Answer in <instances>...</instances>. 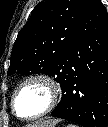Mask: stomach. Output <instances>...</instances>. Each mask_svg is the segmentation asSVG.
<instances>
[{
  "label": "stomach",
  "instance_id": "stomach-1",
  "mask_svg": "<svg viewBox=\"0 0 108 127\" xmlns=\"http://www.w3.org/2000/svg\"><path fill=\"white\" fill-rule=\"evenodd\" d=\"M35 127H58V126H57V123H54V124H48V125H43V126L39 125V126H35Z\"/></svg>",
  "mask_w": 108,
  "mask_h": 127
}]
</instances>
